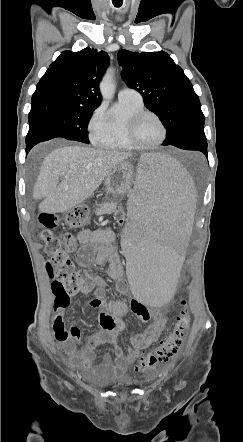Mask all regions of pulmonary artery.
<instances>
[{"label":"pulmonary artery","mask_w":243,"mask_h":442,"mask_svg":"<svg viewBox=\"0 0 243 442\" xmlns=\"http://www.w3.org/2000/svg\"><path fill=\"white\" fill-rule=\"evenodd\" d=\"M118 97L120 100L142 101L141 94L132 88H123L120 90Z\"/></svg>","instance_id":"pulmonary-artery-1"}]
</instances>
